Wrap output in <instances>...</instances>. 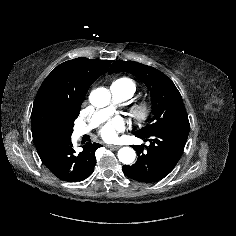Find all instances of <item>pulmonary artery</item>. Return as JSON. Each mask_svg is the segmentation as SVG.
<instances>
[{
	"label": "pulmonary artery",
	"instance_id": "1",
	"mask_svg": "<svg viewBox=\"0 0 236 236\" xmlns=\"http://www.w3.org/2000/svg\"><path fill=\"white\" fill-rule=\"evenodd\" d=\"M113 101L114 102H121L125 101L129 98V92L126 88L120 86L119 84L112 83L110 87ZM113 111V106L106 107L104 109L98 110L93 118L91 119L90 123L84 126H79L74 129L75 137H81L84 134L90 132L91 129L99 125L103 122Z\"/></svg>",
	"mask_w": 236,
	"mask_h": 236
}]
</instances>
